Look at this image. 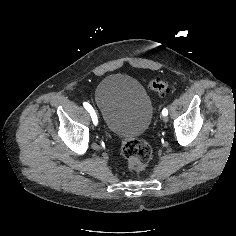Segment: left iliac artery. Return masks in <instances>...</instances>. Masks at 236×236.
<instances>
[{"instance_id":"1","label":"left iliac artery","mask_w":236,"mask_h":236,"mask_svg":"<svg viewBox=\"0 0 236 236\" xmlns=\"http://www.w3.org/2000/svg\"><path fill=\"white\" fill-rule=\"evenodd\" d=\"M162 115H163V116H167V115H168V110H167V108H164V109L162 110Z\"/></svg>"}]
</instances>
